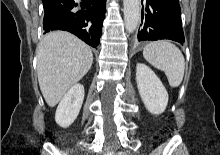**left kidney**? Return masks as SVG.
Here are the masks:
<instances>
[{
  "instance_id": "obj_1",
  "label": "left kidney",
  "mask_w": 220,
  "mask_h": 155,
  "mask_svg": "<svg viewBox=\"0 0 220 155\" xmlns=\"http://www.w3.org/2000/svg\"><path fill=\"white\" fill-rule=\"evenodd\" d=\"M136 82L146 109L154 115L163 113L168 103V93L156 74L145 64L138 63Z\"/></svg>"
}]
</instances>
